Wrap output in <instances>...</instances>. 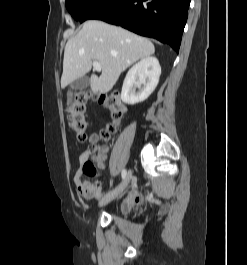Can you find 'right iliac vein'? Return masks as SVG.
Returning a JSON list of instances; mask_svg holds the SVG:
<instances>
[{
  "instance_id": "right-iliac-vein-1",
  "label": "right iliac vein",
  "mask_w": 247,
  "mask_h": 265,
  "mask_svg": "<svg viewBox=\"0 0 247 265\" xmlns=\"http://www.w3.org/2000/svg\"><path fill=\"white\" fill-rule=\"evenodd\" d=\"M132 174L129 171L128 174L126 175L124 181L121 183V185L114 191L106 194L104 197H102V199L99 202V206H104L108 203H110L111 201H113L114 199H116L118 196H120L123 191L127 188L130 180H131Z\"/></svg>"
}]
</instances>
